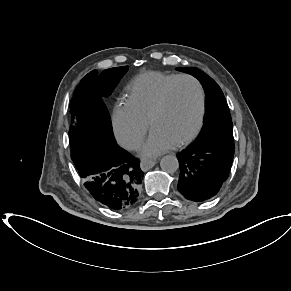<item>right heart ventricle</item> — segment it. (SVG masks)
<instances>
[{"instance_id":"right-heart-ventricle-1","label":"right heart ventricle","mask_w":291,"mask_h":291,"mask_svg":"<svg viewBox=\"0 0 291 291\" xmlns=\"http://www.w3.org/2000/svg\"><path fill=\"white\" fill-rule=\"evenodd\" d=\"M178 75L147 72L138 76L130 85L127 104L140 119L148 122L163 89Z\"/></svg>"}]
</instances>
